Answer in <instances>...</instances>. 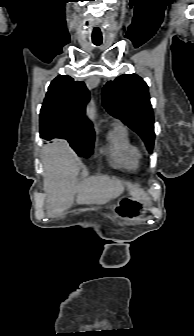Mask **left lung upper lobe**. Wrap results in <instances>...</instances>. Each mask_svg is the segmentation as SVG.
<instances>
[{
  "mask_svg": "<svg viewBox=\"0 0 194 336\" xmlns=\"http://www.w3.org/2000/svg\"><path fill=\"white\" fill-rule=\"evenodd\" d=\"M102 101L108 113L137 132L152 151L154 119L148 86L143 79L136 74H124L109 81L103 88Z\"/></svg>",
  "mask_w": 194,
  "mask_h": 336,
  "instance_id": "left-lung-upper-lobe-1",
  "label": "left lung upper lobe"
}]
</instances>
